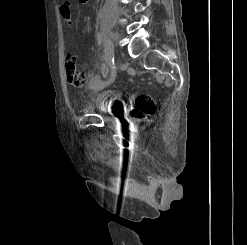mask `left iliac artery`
Segmentation results:
<instances>
[{
    "mask_svg": "<svg viewBox=\"0 0 247 245\" xmlns=\"http://www.w3.org/2000/svg\"><path fill=\"white\" fill-rule=\"evenodd\" d=\"M106 41L108 42V45H105V51H104V57L105 61L107 63V68L108 66L112 68V70L115 68V61H114V54L115 53V40L113 37H107ZM106 41L104 40V44H106Z\"/></svg>",
    "mask_w": 247,
    "mask_h": 245,
    "instance_id": "obj_1",
    "label": "left iliac artery"
}]
</instances>
